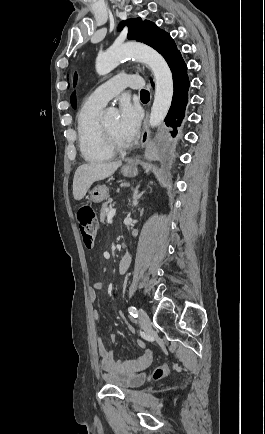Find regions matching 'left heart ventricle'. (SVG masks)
<instances>
[{"mask_svg":"<svg viewBox=\"0 0 265 434\" xmlns=\"http://www.w3.org/2000/svg\"><path fill=\"white\" fill-rule=\"evenodd\" d=\"M118 123L119 119L118 117H113L108 119L104 124L110 129V131L113 133L117 141H119L122 144H127L124 140L121 139L119 132H118Z\"/></svg>","mask_w":265,"mask_h":434,"instance_id":"obj_1","label":"left heart ventricle"}]
</instances>
